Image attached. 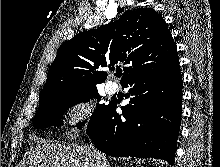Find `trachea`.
I'll use <instances>...</instances> for the list:
<instances>
[{"label": "trachea", "mask_w": 220, "mask_h": 167, "mask_svg": "<svg viewBox=\"0 0 220 167\" xmlns=\"http://www.w3.org/2000/svg\"><path fill=\"white\" fill-rule=\"evenodd\" d=\"M116 76H117V77H120V76H121V73H117Z\"/></svg>", "instance_id": "obj_1"}]
</instances>
